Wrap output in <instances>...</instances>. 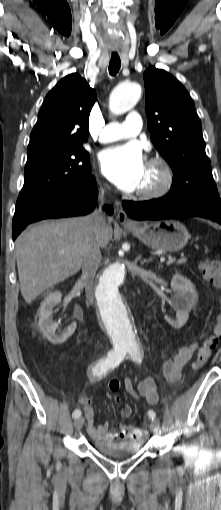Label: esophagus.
Listing matches in <instances>:
<instances>
[{"label":"esophagus","mask_w":221,"mask_h":510,"mask_svg":"<svg viewBox=\"0 0 221 510\" xmlns=\"http://www.w3.org/2000/svg\"><path fill=\"white\" fill-rule=\"evenodd\" d=\"M118 221L123 225H134L135 223L127 216V213L121 208L117 215Z\"/></svg>","instance_id":"1"}]
</instances>
